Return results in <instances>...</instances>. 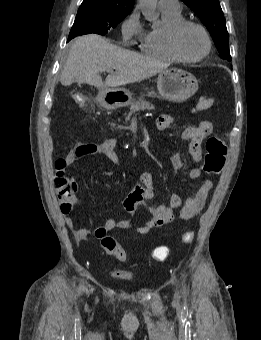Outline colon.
<instances>
[{
  "label": "colon",
  "mask_w": 261,
  "mask_h": 340,
  "mask_svg": "<svg viewBox=\"0 0 261 340\" xmlns=\"http://www.w3.org/2000/svg\"><path fill=\"white\" fill-rule=\"evenodd\" d=\"M214 104L212 98H201L197 104V109L200 111L211 108ZM205 159L203 170L207 174L219 173L226 160L227 146L224 140L218 136H211L205 143ZM56 175L54 177V187L60 203V210L63 214H68L77 204L76 196L77 185L74 179L65 174L66 161L58 159L55 163ZM193 232L187 231L182 234L183 243H191L193 240ZM101 244L104 251L117 258L121 262L127 261V253L117 240L111 236H105L101 239ZM169 248L166 246L155 247L152 251L151 258L157 262L165 261L169 256Z\"/></svg>",
  "instance_id": "obj_1"
}]
</instances>
